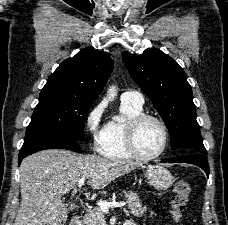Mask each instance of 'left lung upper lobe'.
<instances>
[{
	"instance_id": "obj_1",
	"label": "left lung upper lobe",
	"mask_w": 228,
	"mask_h": 225,
	"mask_svg": "<svg viewBox=\"0 0 228 225\" xmlns=\"http://www.w3.org/2000/svg\"><path fill=\"white\" fill-rule=\"evenodd\" d=\"M122 57L133 80L162 116L172 149L186 148V156H205L192 89L180 65L157 49H147L141 55L123 52Z\"/></svg>"
}]
</instances>
